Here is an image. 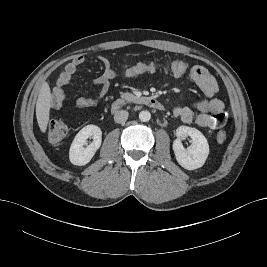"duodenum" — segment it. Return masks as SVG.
Returning <instances> with one entry per match:
<instances>
[{"label": "duodenum", "mask_w": 267, "mask_h": 267, "mask_svg": "<svg viewBox=\"0 0 267 267\" xmlns=\"http://www.w3.org/2000/svg\"><path fill=\"white\" fill-rule=\"evenodd\" d=\"M136 104L146 105L152 109L162 111L164 110V105L155 97L153 96H143L138 97L134 100ZM129 101L124 98H120L115 100L111 105V111L117 112L122 109L125 105H127Z\"/></svg>", "instance_id": "1"}]
</instances>
